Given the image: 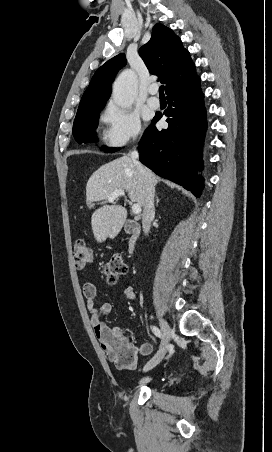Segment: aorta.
I'll return each instance as SVG.
<instances>
[{
	"mask_svg": "<svg viewBox=\"0 0 272 452\" xmlns=\"http://www.w3.org/2000/svg\"><path fill=\"white\" fill-rule=\"evenodd\" d=\"M137 94V77L131 70L123 71L113 84L112 99L120 108H129Z\"/></svg>",
	"mask_w": 272,
	"mask_h": 452,
	"instance_id": "762f6f07",
	"label": "aorta"
}]
</instances>
